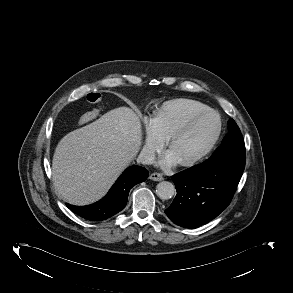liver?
Segmentation results:
<instances>
[{
	"mask_svg": "<svg viewBox=\"0 0 293 293\" xmlns=\"http://www.w3.org/2000/svg\"><path fill=\"white\" fill-rule=\"evenodd\" d=\"M141 123L128 107H119L65 135L52 161L56 191L70 204L101 199L139 152Z\"/></svg>",
	"mask_w": 293,
	"mask_h": 293,
	"instance_id": "6515ba94",
	"label": "liver"
}]
</instances>
